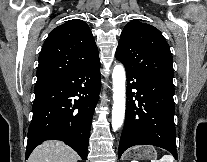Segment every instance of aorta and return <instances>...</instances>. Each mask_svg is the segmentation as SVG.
<instances>
[{"instance_id": "obj_1", "label": "aorta", "mask_w": 207, "mask_h": 162, "mask_svg": "<svg viewBox=\"0 0 207 162\" xmlns=\"http://www.w3.org/2000/svg\"><path fill=\"white\" fill-rule=\"evenodd\" d=\"M113 79V107H112V128L117 131L123 124L125 116V69L121 64L114 67Z\"/></svg>"}]
</instances>
